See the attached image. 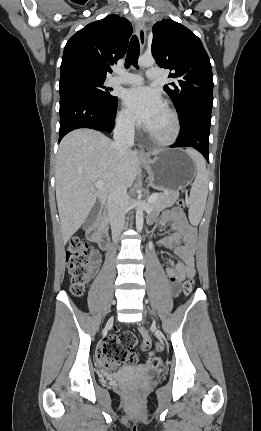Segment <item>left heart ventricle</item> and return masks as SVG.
Listing matches in <instances>:
<instances>
[{"mask_svg": "<svg viewBox=\"0 0 261 431\" xmlns=\"http://www.w3.org/2000/svg\"><path fill=\"white\" fill-rule=\"evenodd\" d=\"M148 129L160 136H166L171 132L172 121L165 109L158 115Z\"/></svg>", "mask_w": 261, "mask_h": 431, "instance_id": "left-heart-ventricle-1", "label": "left heart ventricle"}]
</instances>
